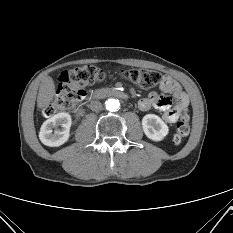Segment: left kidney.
I'll return each instance as SVG.
<instances>
[{"mask_svg":"<svg viewBox=\"0 0 233 233\" xmlns=\"http://www.w3.org/2000/svg\"><path fill=\"white\" fill-rule=\"evenodd\" d=\"M145 135L153 141H161L168 134L167 124L155 114H147L142 119Z\"/></svg>","mask_w":233,"mask_h":233,"instance_id":"left-kidney-1","label":"left kidney"}]
</instances>
